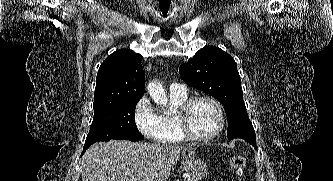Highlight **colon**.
Listing matches in <instances>:
<instances>
[{
  "label": "colon",
  "instance_id": "colon-1",
  "mask_svg": "<svg viewBox=\"0 0 333 181\" xmlns=\"http://www.w3.org/2000/svg\"><path fill=\"white\" fill-rule=\"evenodd\" d=\"M230 166L239 173H242L247 165V160L243 156L235 155L230 158Z\"/></svg>",
  "mask_w": 333,
  "mask_h": 181
}]
</instances>
